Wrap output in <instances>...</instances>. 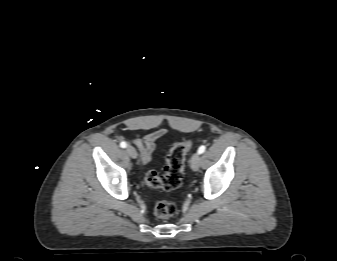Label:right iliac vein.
I'll return each mask as SVG.
<instances>
[{
  "instance_id": "1",
  "label": "right iliac vein",
  "mask_w": 337,
  "mask_h": 261,
  "mask_svg": "<svg viewBox=\"0 0 337 261\" xmlns=\"http://www.w3.org/2000/svg\"><path fill=\"white\" fill-rule=\"evenodd\" d=\"M126 152L131 158H137V151L135 150L134 147L132 146H127L126 147Z\"/></svg>"
}]
</instances>
